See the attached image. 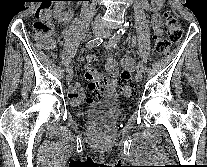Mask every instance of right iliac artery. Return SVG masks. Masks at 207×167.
<instances>
[{
    "mask_svg": "<svg viewBox=\"0 0 207 167\" xmlns=\"http://www.w3.org/2000/svg\"><path fill=\"white\" fill-rule=\"evenodd\" d=\"M103 42V37L94 38L86 43V48L91 49L99 46ZM71 70V67H67V71Z\"/></svg>",
    "mask_w": 207,
    "mask_h": 167,
    "instance_id": "82829eb1",
    "label": "right iliac artery"
}]
</instances>
